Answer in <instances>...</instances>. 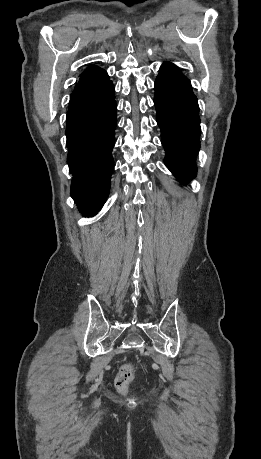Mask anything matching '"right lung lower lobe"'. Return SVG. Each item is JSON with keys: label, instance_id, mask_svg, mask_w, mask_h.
Segmentation results:
<instances>
[{"label": "right lung lower lobe", "instance_id": "obj_1", "mask_svg": "<svg viewBox=\"0 0 261 459\" xmlns=\"http://www.w3.org/2000/svg\"><path fill=\"white\" fill-rule=\"evenodd\" d=\"M66 123L67 162L73 174L71 196L83 215L92 216L106 201L114 168L117 121L112 81L70 105Z\"/></svg>", "mask_w": 261, "mask_h": 459}]
</instances>
